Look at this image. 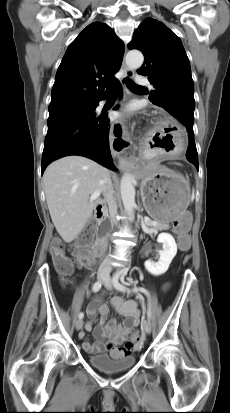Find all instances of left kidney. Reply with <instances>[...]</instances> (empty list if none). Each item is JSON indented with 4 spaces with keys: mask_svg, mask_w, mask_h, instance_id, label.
Listing matches in <instances>:
<instances>
[{
    "mask_svg": "<svg viewBox=\"0 0 230 413\" xmlns=\"http://www.w3.org/2000/svg\"><path fill=\"white\" fill-rule=\"evenodd\" d=\"M157 241L163 244L159 261L153 262L148 260L144 264L147 271L155 276L162 275L168 270L170 263L177 253V244L173 236L169 233H160Z\"/></svg>",
    "mask_w": 230,
    "mask_h": 413,
    "instance_id": "left-kidney-1",
    "label": "left kidney"
}]
</instances>
